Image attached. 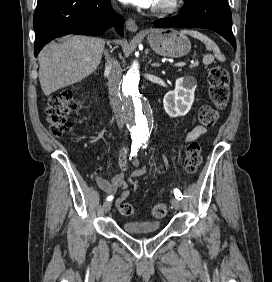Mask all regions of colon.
I'll return each mask as SVG.
<instances>
[{
    "mask_svg": "<svg viewBox=\"0 0 272 282\" xmlns=\"http://www.w3.org/2000/svg\"><path fill=\"white\" fill-rule=\"evenodd\" d=\"M229 74L221 66H214L209 73V93L212 106H203L199 110L198 120L202 126L214 125L220 116V111L225 109L229 101ZM80 104L74 99L71 93H63L54 96L49 100L46 109V119L50 125L52 135L62 137L70 132L72 123L67 118L68 114L79 109ZM201 146L198 142H191L186 148L185 169L188 174H195L201 163ZM132 181V179L130 180ZM119 212L124 216H133L136 210L132 204L123 202L118 207ZM168 205L166 202H157L152 207L154 218H163L167 214Z\"/></svg>",
    "mask_w": 272,
    "mask_h": 282,
    "instance_id": "1",
    "label": "colon"
}]
</instances>
